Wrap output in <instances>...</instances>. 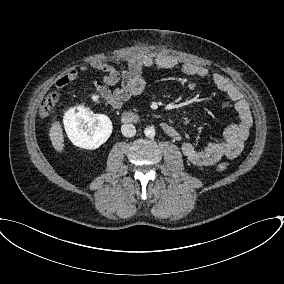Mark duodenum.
Here are the masks:
<instances>
[{"label": "duodenum", "mask_w": 284, "mask_h": 284, "mask_svg": "<svg viewBox=\"0 0 284 284\" xmlns=\"http://www.w3.org/2000/svg\"><path fill=\"white\" fill-rule=\"evenodd\" d=\"M121 120L126 124H135L140 122L141 117L132 111L125 110L121 114ZM162 131L169 137H175L178 134V131L168 123H162Z\"/></svg>", "instance_id": "duodenum-1"}]
</instances>
